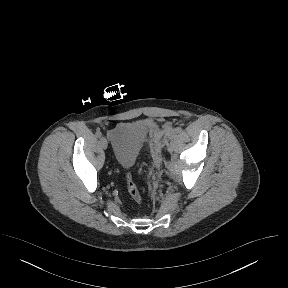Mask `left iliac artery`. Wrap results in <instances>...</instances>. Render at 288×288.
<instances>
[{"instance_id":"obj_1","label":"left iliac artery","mask_w":288,"mask_h":288,"mask_svg":"<svg viewBox=\"0 0 288 288\" xmlns=\"http://www.w3.org/2000/svg\"><path fill=\"white\" fill-rule=\"evenodd\" d=\"M181 131H182V128L181 127H177V128L174 129L173 134L180 133Z\"/></svg>"}]
</instances>
